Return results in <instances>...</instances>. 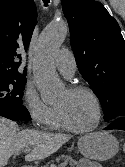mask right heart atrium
<instances>
[{
	"label": "right heart atrium",
	"mask_w": 125,
	"mask_h": 167,
	"mask_svg": "<svg viewBox=\"0 0 125 167\" xmlns=\"http://www.w3.org/2000/svg\"><path fill=\"white\" fill-rule=\"evenodd\" d=\"M22 104L36 127H49L54 118L56 109L53 106L46 104L41 99L34 86L30 84L26 85Z\"/></svg>",
	"instance_id": "1"
}]
</instances>
